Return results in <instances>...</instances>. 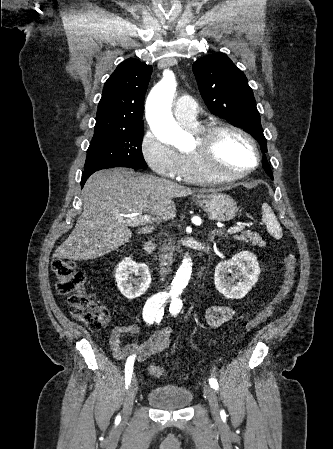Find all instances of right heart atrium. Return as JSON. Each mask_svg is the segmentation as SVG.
Returning <instances> with one entry per match:
<instances>
[{
    "label": "right heart atrium",
    "instance_id": "1",
    "mask_svg": "<svg viewBox=\"0 0 333 449\" xmlns=\"http://www.w3.org/2000/svg\"><path fill=\"white\" fill-rule=\"evenodd\" d=\"M140 151L143 159L157 175L171 179L179 177L180 154L151 131L144 134Z\"/></svg>",
    "mask_w": 333,
    "mask_h": 449
}]
</instances>
